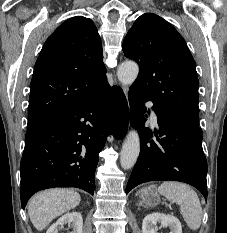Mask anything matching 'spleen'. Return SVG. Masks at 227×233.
<instances>
[{"label": "spleen", "mask_w": 227, "mask_h": 233, "mask_svg": "<svg viewBox=\"0 0 227 233\" xmlns=\"http://www.w3.org/2000/svg\"><path fill=\"white\" fill-rule=\"evenodd\" d=\"M158 192L170 202L180 205L181 215L190 229L197 230L200 227L202 207L197 193L189 185L166 181L158 187Z\"/></svg>", "instance_id": "1"}]
</instances>
